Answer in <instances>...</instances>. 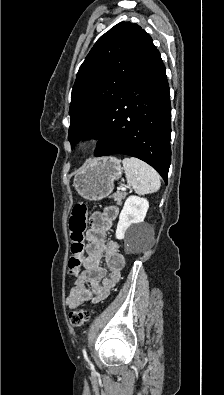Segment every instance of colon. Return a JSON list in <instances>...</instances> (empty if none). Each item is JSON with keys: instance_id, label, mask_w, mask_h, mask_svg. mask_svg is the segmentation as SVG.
Listing matches in <instances>:
<instances>
[{"instance_id": "colon-1", "label": "colon", "mask_w": 224, "mask_h": 395, "mask_svg": "<svg viewBox=\"0 0 224 395\" xmlns=\"http://www.w3.org/2000/svg\"><path fill=\"white\" fill-rule=\"evenodd\" d=\"M89 207L85 203L74 206L69 218V231L71 240L72 256L68 261L69 274L76 275L82 265V255L84 253V232L87 227V216ZM88 312L84 308H76L69 313V322L73 327H81L88 320Z\"/></svg>"}]
</instances>
